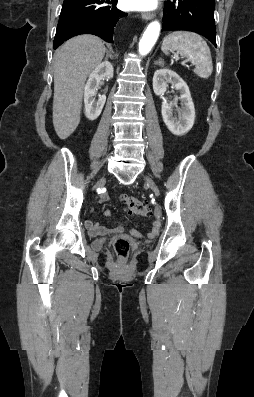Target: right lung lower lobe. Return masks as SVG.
Returning <instances> with one entry per match:
<instances>
[{
  "mask_svg": "<svg viewBox=\"0 0 254 397\" xmlns=\"http://www.w3.org/2000/svg\"><path fill=\"white\" fill-rule=\"evenodd\" d=\"M116 4L117 0H64L53 48L79 34H94L112 43L115 28L127 16Z\"/></svg>",
  "mask_w": 254,
  "mask_h": 397,
  "instance_id": "right-lung-lower-lobe-1",
  "label": "right lung lower lobe"
}]
</instances>
